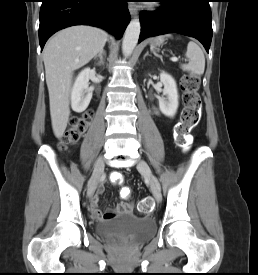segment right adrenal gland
Instances as JSON below:
<instances>
[{
	"mask_svg": "<svg viewBox=\"0 0 258 275\" xmlns=\"http://www.w3.org/2000/svg\"><path fill=\"white\" fill-rule=\"evenodd\" d=\"M105 51L102 50L97 56L94 57L95 60L99 58L98 65H103L104 64V56H105Z\"/></svg>",
	"mask_w": 258,
	"mask_h": 275,
	"instance_id": "right-adrenal-gland-1",
	"label": "right adrenal gland"
}]
</instances>
